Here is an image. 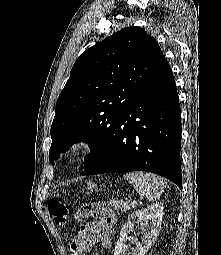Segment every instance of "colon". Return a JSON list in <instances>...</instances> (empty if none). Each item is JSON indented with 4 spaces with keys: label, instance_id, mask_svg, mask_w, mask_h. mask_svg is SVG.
I'll list each match as a JSON object with an SVG mask.
<instances>
[{
    "label": "colon",
    "instance_id": "1",
    "mask_svg": "<svg viewBox=\"0 0 221 255\" xmlns=\"http://www.w3.org/2000/svg\"><path fill=\"white\" fill-rule=\"evenodd\" d=\"M47 209L54 221L58 225H65L68 220V210L66 205L59 199H50L47 203ZM91 204L83 205L75 214V219L78 222L84 221L91 216Z\"/></svg>",
    "mask_w": 221,
    "mask_h": 255
}]
</instances>
